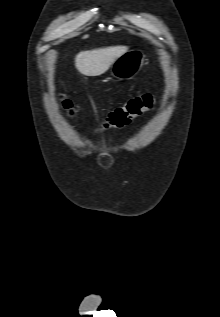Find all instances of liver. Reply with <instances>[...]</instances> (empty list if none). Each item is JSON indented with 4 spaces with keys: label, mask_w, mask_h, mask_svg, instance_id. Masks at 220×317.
Here are the masks:
<instances>
[{
    "label": "liver",
    "mask_w": 220,
    "mask_h": 317,
    "mask_svg": "<svg viewBox=\"0 0 220 317\" xmlns=\"http://www.w3.org/2000/svg\"><path fill=\"white\" fill-rule=\"evenodd\" d=\"M127 50L126 46H112L82 51L75 57L76 69L85 76H99Z\"/></svg>",
    "instance_id": "obj_1"
}]
</instances>
